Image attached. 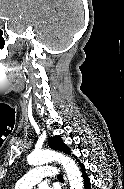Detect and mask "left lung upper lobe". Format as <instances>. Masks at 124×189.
<instances>
[{"mask_svg":"<svg viewBox=\"0 0 124 189\" xmlns=\"http://www.w3.org/2000/svg\"><path fill=\"white\" fill-rule=\"evenodd\" d=\"M48 144H49V147L54 149V150L62 151L66 154H71V151L68 148V146L66 144H64L62 142V139H60L58 136H55L53 138H49Z\"/></svg>","mask_w":124,"mask_h":189,"instance_id":"1","label":"left lung upper lobe"}]
</instances>
